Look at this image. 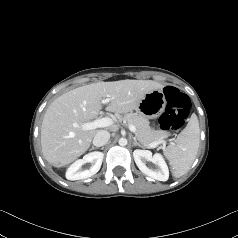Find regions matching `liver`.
Wrapping results in <instances>:
<instances>
[{
	"label": "liver",
	"instance_id": "liver-1",
	"mask_svg": "<svg viewBox=\"0 0 238 238\" xmlns=\"http://www.w3.org/2000/svg\"><path fill=\"white\" fill-rule=\"evenodd\" d=\"M163 85L152 80L98 82L75 88L55 99L48 107L41 126L44 158L54 167H64L91 145L99 130H83L102 109V98L110 103L106 111L124 114L137 110L145 95Z\"/></svg>",
	"mask_w": 238,
	"mask_h": 238
}]
</instances>
